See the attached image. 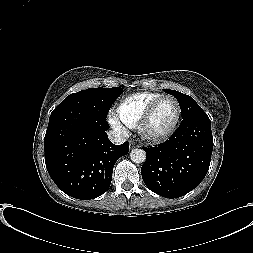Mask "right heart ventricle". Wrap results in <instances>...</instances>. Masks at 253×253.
Listing matches in <instances>:
<instances>
[{"label":"right heart ventricle","mask_w":253,"mask_h":253,"mask_svg":"<svg viewBox=\"0 0 253 253\" xmlns=\"http://www.w3.org/2000/svg\"><path fill=\"white\" fill-rule=\"evenodd\" d=\"M161 95L155 92H141L126 97L116 109L117 119L128 128H136L149 105Z\"/></svg>","instance_id":"1"}]
</instances>
